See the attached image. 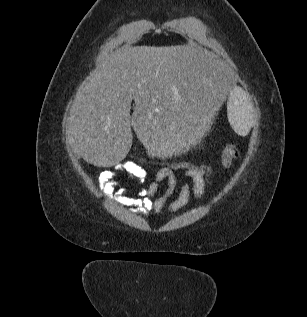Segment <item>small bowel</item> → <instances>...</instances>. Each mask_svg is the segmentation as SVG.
Masks as SVG:
<instances>
[{
  "label": "small bowel",
  "mask_w": 307,
  "mask_h": 317,
  "mask_svg": "<svg viewBox=\"0 0 307 317\" xmlns=\"http://www.w3.org/2000/svg\"><path fill=\"white\" fill-rule=\"evenodd\" d=\"M113 168L114 170L107 169L101 172L98 178L99 188L103 192L111 194L113 191L112 179L115 176V170H121L128 179L139 185L141 190L138 192L136 198L124 197L121 194L118 198L126 204L136 206L137 211L143 215H148L150 212H177L188 203L192 193L194 198L198 200L208 190V182L202 173L196 170H187L177 198L167 204L168 199L174 194L178 184L173 170L161 168L157 171L155 178L151 182H147V170L133 161L124 160L115 164ZM162 182H166V189L160 197L153 200L152 197L158 192Z\"/></svg>",
  "instance_id": "obj_1"
}]
</instances>
